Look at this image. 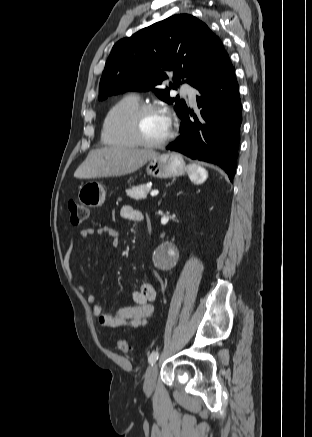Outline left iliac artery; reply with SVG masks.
I'll use <instances>...</instances> for the list:
<instances>
[{
	"label": "left iliac artery",
	"instance_id": "left-iliac-artery-1",
	"mask_svg": "<svg viewBox=\"0 0 312 437\" xmlns=\"http://www.w3.org/2000/svg\"><path fill=\"white\" fill-rule=\"evenodd\" d=\"M159 358V352L158 351H153L149 358H148V362L153 365Z\"/></svg>",
	"mask_w": 312,
	"mask_h": 437
}]
</instances>
